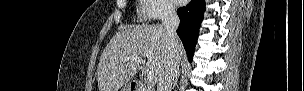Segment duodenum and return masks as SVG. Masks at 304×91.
Instances as JSON below:
<instances>
[{"label":"duodenum","instance_id":"obj_1","mask_svg":"<svg viewBox=\"0 0 304 91\" xmlns=\"http://www.w3.org/2000/svg\"><path fill=\"white\" fill-rule=\"evenodd\" d=\"M130 91H150L140 82H132L130 85Z\"/></svg>","mask_w":304,"mask_h":91}]
</instances>
